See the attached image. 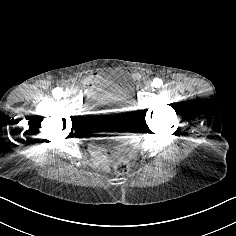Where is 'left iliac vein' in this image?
Returning a JSON list of instances; mask_svg holds the SVG:
<instances>
[{
    "instance_id": "left-iliac-vein-1",
    "label": "left iliac vein",
    "mask_w": 236,
    "mask_h": 236,
    "mask_svg": "<svg viewBox=\"0 0 236 236\" xmlns=\"http://www.w3.org/2000/svg\"><path fill=\"white\" fill-rule=\"evenodd\" d=\"M145 89H146V91H148V92H149V91H151V89H152V88H151V86H149V85H148V86H146V88H145Z\"/></svg>"
}]
</instances>
